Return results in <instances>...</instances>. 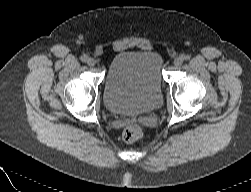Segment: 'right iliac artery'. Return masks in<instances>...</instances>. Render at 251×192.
I'll list each match as a JSON object with an SVG mask.
<instances>
[{"instance_id": "82829eb1", "label": "right iliac artery", "mask_w": 251, "mask_h": 192, "mask_svg": "<svg viewBox=\"0 0 251 192\" xmlns=\"http://www.w3.org/2000/svg\"><path fill=\"white\" fill-rule=\"evenodd\" d=\"M87 59H88V56H87V55H82V56L80 57V60H81L82 62H86Z\"/></svg>"}]
</instances>
